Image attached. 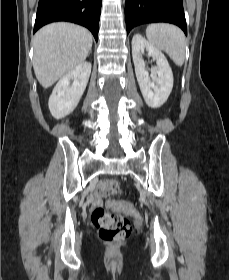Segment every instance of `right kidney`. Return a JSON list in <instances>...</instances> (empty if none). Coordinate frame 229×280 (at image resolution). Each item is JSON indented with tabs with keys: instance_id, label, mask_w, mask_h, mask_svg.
<instances>
[{
	"instance_id": "ca27d5eb",
	"label": "right kidney",
	"mask_w": 229,
	"mask_h": 280,
	"mask_svg": "<svg viewBox=\"0 0 229 280\" xmlns=\"http://www.w3.org/2000/svg\"><path fill=\"white\" fill-rule=\"evenodd\" d=\"M90 73L91 63L83 62L59 80L48 102L54 118L61 119L73 112L84 93ZM71 80L73 84L70 86Z\"/></svg>"
}]
</instances>
